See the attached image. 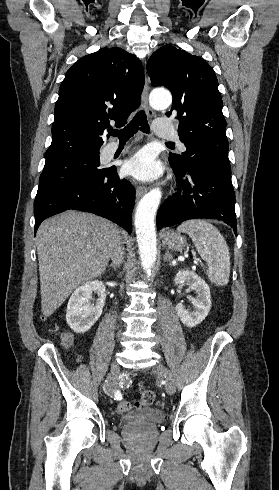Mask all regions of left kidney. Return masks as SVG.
<instances>
[{
    "label": "left kidney",
    "mask_w": 279,
    "mask_h": 490,
    "mask_svg": "<svg viewBox=\"0 0 279 490\" xmlns=\"http://www.w3.org/2000/svg\"><path fill=\"white\" fill-rule=\"evenodd\" d=\"M175 284L188 286V292L194 290L196 298H192L193 310H187L184 304H177L175 310L182 324L187 328H194L207 318L211 308L210 288L200 276L189 270H179L174 278Z\"/></svg>",
    "instance_id": "obj_1"
}]
</instances>
